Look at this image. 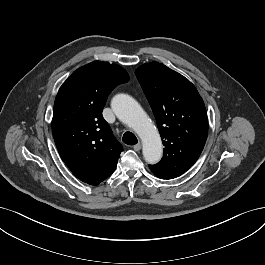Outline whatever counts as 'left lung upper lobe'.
Here are the masks:
<instances>
[{"instance_id":"5c2ea615","label":"left lung upper lobe","mask_w":265,"mask_h":265,"mask_svg":"<svg viewBox=\"0 0 265 265\" xmlns=\"http://www.w3.org/2000/svg\"><path fill=\"white\" fill-rule=\"evenodd\" d=\"M135 74L150 103L164 148L150 170L161 179L185 173L199 158L208 134L204 102L194 85L164 64L151 62Z\"/></svg>"}]
</instances>
